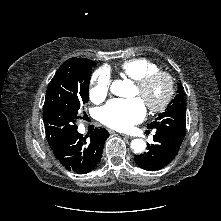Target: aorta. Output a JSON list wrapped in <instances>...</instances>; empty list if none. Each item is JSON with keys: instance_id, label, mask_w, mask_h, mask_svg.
Segmentation results:
<instances>
[{"instance_id": "762f6f07", "label": "aorta", "mask_w": 221, "mask_h": 221, "mask_svg": "<svg viewBox=\"0 0 221 221\" xmlns=\"http://www.w3.org/2000/svg\"><path fill=\"white\" fill-rule=\"evenodd\" d=\"M127 87L126 81L116 80L111 84L110 90L114 95L124 97ZM131 148L135 153H141L145 150L146 143L143 139L137 138L132 140Z\"/></svg>"}]
</instances>
